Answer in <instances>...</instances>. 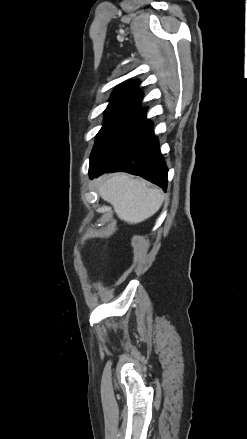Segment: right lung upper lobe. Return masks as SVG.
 <instances>
[{"label": "right lung upper lobe", "mask_w": 247, "mask_h": 439, "mask_svg": "<svg viewBox=\"0 0 247 439\" xmlns=\"http://www.w3.org/2000/svg\"><path fill=\"white\" fill-rule=\"evenodd\" d=\"M138 85V80L124 82L118 85L111 95L109 105H119L127 109L145 112L146 109L139 107L143 93L138 89Z\"/></svg>", "instance_id": "right-lung-upper-lobe-1"}]
</instances>
